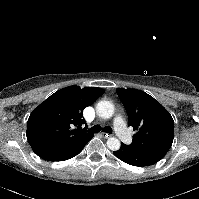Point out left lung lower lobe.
Wrapping results in <instances>:
<instances>
[{
  "label": "left lung lower lobe",
  "mask_w": 199,
  "mask_h": 199,
  "mask_svg": "<svg viewBox=\"0 0 199 199\" xmlns=\"http://www.w3.org/2000/svg\"><path fill=\"white\" fill-rule=\"evenodd\" d=\"M113 154L127 164L141 167L153 165L160 160L147 153L137 151L123 143H121L120 149L113 152Z\"/></svg>",
  "instance_id": "0a47b994"
}]
</instances>
